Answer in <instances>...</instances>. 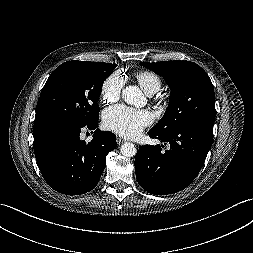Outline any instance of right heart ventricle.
I'll return each mask as SVG.
<instances>
[{
  "mask_svg": "<svg viewBox=\"0 0 253 253\" xmlns=\"http://www.w3.org/2000/svg\"><path fill=\"white\" fill-rule=\"evenodd\" d=\"M135 79L148 94H153L159 90L161 79L158 74L150 70H142L135 74Z\"/></svg>",
  "mask_w": 253,
  "mask_h": 253,
  "instance_id": "obj_1",
  "label": "right heart ventricle"
}]
</instances>
